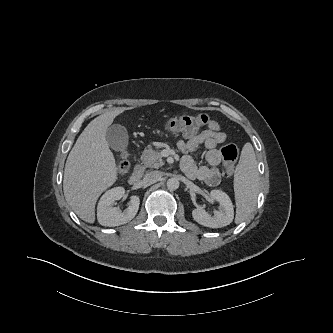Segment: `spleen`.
<instances>
[{"label": "spleen", "instance_id": "obj_1", "mask_svg": "<svg viewBox=\"0 0 333 333\" xmlns=\"http://www.w3.org/2000/svg\"><path fill=\"white\" fill-rule=\"evenodd\" d=\"M258 183L259 173L254 149L250 143H246L234 173L236 223L244 221L254 210L259 191Z\"/></svg>", "mask_w": 333, "mask_h": 333}]
</instances>
